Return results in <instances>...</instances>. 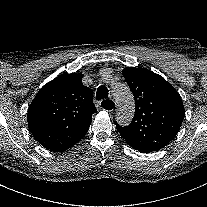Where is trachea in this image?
<instances>
[{"instance_id": "3493384b", "label": "trachea", "mask_w": 207, "mask_h": 207, "mask_svg": "<svg viewBox=\"0 0 207 207\" xmlns=\"http://www.w3.org/2000/svg\"><path fill=\"white\" fill-rule=\"evenodd\" d=\"M108 97V90L105 86H99L96 93L97 100L103 99L101 105L102 107L107 106V104L111 103L112 101L106 100Z\"/></svg>"}]
</instances>
